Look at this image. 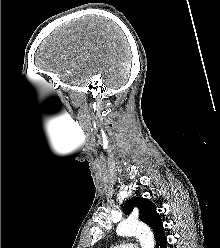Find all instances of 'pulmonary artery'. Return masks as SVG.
I'll return each mask as SVG.
<instances>
[{"label": "pulmonary artery", "instance_id": "pulmonary-artery-1", "mask_svg": "<svg viewBox=\"0 0 220 248\" xmlns=\"http://www.w3.org/2000/svg\"><path fill=\"white\" fill-rule=\"evenodd\" d=\"M114 248H137L134 244H120L114 246Z\"/></svg>", "mask_w": 220, "mask_h": 248}]
</instances>
